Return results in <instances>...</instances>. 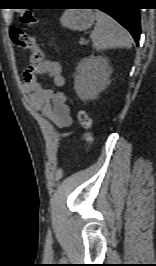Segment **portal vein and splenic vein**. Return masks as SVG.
I'll return each instance as SVG.
<instances>
[{"label": "portal vein and splenic vein", "mask_w": 156, "mask_h": 266, "mask_svg": "<svg viewBox=\"0 0 156 266\" xmlns=\"http://www.w3.org/2000/svg\"><path fill=\"white\" fill-rule=\"evenodd\" d=\"M85 42L82 40V41H80V44H84Z\"/></svg>", "instance_id": "18ae733b"}]
</instances>
